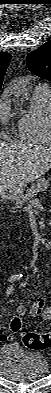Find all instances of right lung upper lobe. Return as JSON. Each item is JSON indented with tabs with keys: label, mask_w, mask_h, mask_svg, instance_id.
I'll return each instance as SVG.
<instances>
[{
	"label": "right lung upper lobe",
	"mask_w": 51,
	"mask_h": 393,
	"mask_svg": "<svg viewBox=\"0 0 51 393\" xmlns=\"http://www.w3.org/2000/svg\"><path fill=\"white\" fill-rule=\"evenodd\" d=\"M11 61V55L9 53L0 52V88L3 82L4 74Z\"/></svg>",
	"instance_id": "1"
}]
</instances>
